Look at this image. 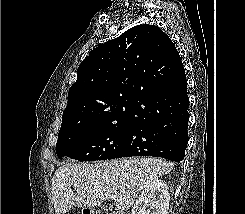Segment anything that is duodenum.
I'll return each instance as SVG.
<instances>
[{
  "mask_svg": "<svg viewBox=\"0 0 245 214\" xmlns=\"http://www.w3.org/2000/svg\"><path fill=\"white\" fill-rule=\"evenodd\" d=\"M86 214H100L98 211H91V212H88Z\"/></svg>",
  "mask_w": 245,
  "mask_h": 214,
  "instance_id": "duodenum-1",
  "label": "duodenum"
}]
</instances>
